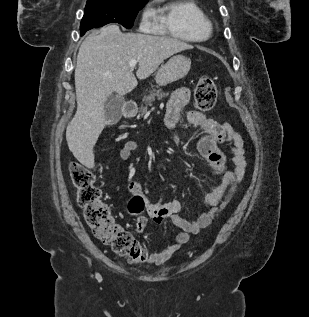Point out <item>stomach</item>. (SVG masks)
<instances>
[{
    "instance_id": "stomach-1",
    "label": "stomach",
    "mask_w": 309,
    "mask_h": 317,
    "mask_svg": "<svg viewBox=\"0 0 309 317\" xmlns=\"http://www.w3.org/2000/svg\"><path fill=\"white\" fill-rule=\"evenodd\" d=\"M191 66V60L184 55H175L170 58L157 72L155 80L160 86L173 83L184 78Z\"/></svg>"
}]
</instances>
